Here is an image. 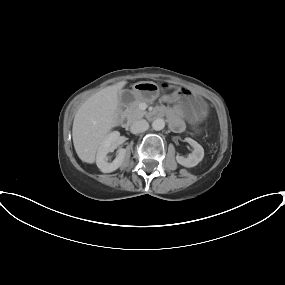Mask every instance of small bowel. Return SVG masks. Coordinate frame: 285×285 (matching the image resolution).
I'll return each mask as SVG.
<instances>
[{"instance_id":"1","label":"small bowel","mask_w":285,"mask_h":285,"mask_svg":"<svg viewBox=\"0 0 285 285\" xmlns=\"http://www.w3.org/2000/svg\"><path fill=\"white\" fill-rule=\"evenodd\" d=\"M175 98L174 95H164L162 97L163 101H172ZM171 120H172V127L176 131H180L183 128L182 122L179 120L177 116V112L175 109L171 110L170 112Z\"/></svg>"}]
</instances>
